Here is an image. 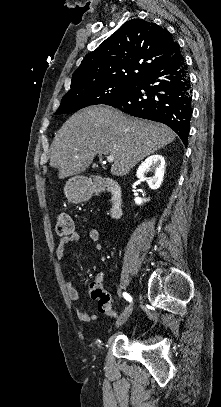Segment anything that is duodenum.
Masks as SVG:
<instances>
[{"label": "duodenum", "instance_id": "410a0bca", "mask_svg": "<svg viewBox=\"0 0 221 407\" xmlns=\"http://www.w3.org/2000/svg\"><path fill=\"white\" fill-rule=\"evenodd\" d=\"M90 188L95 193H109L110 209L109 216L111 219H118L122 215V190L118 183H91Z\"/></svg>", "mask_w": 221, "mask_h": 407}]
</instances>
